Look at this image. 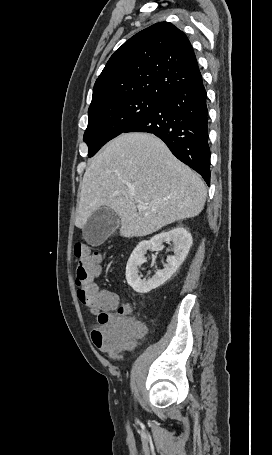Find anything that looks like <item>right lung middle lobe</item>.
Wrapping results in <instances>:
<instances>
[{"mask_svg": "<svg viewBox=\"0 0 272 455\" xmlns=\"http://www.w3.org/2000/svg\"><path fill=\"white\" fill-rule=\"evenodd\" d=\"M163 99L140 95L89 109L88 127L83 137L89 147L88 156L92 157L109 140L160 107Z\"/></svg>", "mask_w": 272, "mask_h": 455, "instance_id": "1", "label": "right lung middle lobe"}]
</instances>
